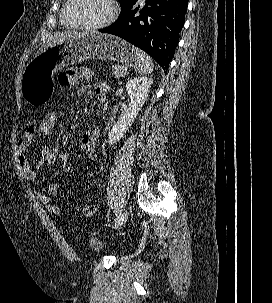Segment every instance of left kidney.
<instances>
[{
	"label": "left kidney",
	"mask_w": 272,
	"mask_h": 303,
	"mask_svg": "<svg viewBox=\"0 0 272 303\" xmlns=\"http://www.w3.org/2000/svg\"><path fill=\"white\" fill-rule=\"evenodd\" d=\"M152 83V78L144 76L133 77L127 81L125 87L131 101L108 133L110 145L118 142L129 130L148 97Z\"/></svg>",
	"instance_id": "5707ae66"
}]
</instances>
